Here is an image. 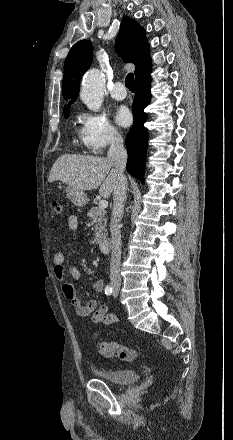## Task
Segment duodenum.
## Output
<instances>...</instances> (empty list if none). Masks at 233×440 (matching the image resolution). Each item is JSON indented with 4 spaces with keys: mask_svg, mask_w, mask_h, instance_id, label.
<instances>
[{
    "mask_svg": "<svg viewBox=\"0 0 233 440\" xmlns=\"http://www.w3.org/2000/svg\"><path fill=\"white\" fill-rule=\"evenodd\" d=\"M111 241L109 238L99 239V247L103 252H108L110 250Z\"/></svg>",
    "mask_w": 233,
    "mask_h": 440,
    "instance_id": "1",
    "label": "duodenum"
}]
</instances>
